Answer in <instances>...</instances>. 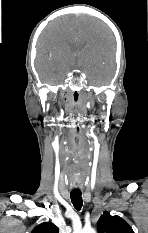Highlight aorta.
I'll return each instance as SVG.
<instances>
[{"instance_id":"aorta-1","label":"aorta","mask_w":148,"mask_h":233,"mask_svg":"<svg viewBox=\"0 0 148 233\" xmlns=\"http://www.w3.org/2000/svg\"><path fill=\"white\" fill-rule=\"evenodd\" d=\"M79 233H96L92 228H83L79 231Z\"/></svg>"}]
</instances>
